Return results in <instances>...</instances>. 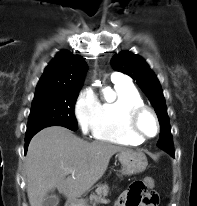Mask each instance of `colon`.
<instances>
[{"instance_id":"5ec220e1","label":"colon","mask_w":197,"mask_h":206,"mask_svg":"<svg viewBox=\"0 0 197 206\" xmlns=\"http://www.w3.org/2000/svg\"><path fill=\"white\" fill-rule=\"evenodd\" d=\"M154 186V180L147 178L138 180L132 183L128 190V204L129 206H142L148 205L151 201L158 200L153 193H147L148 188Z\"/></svg>"}]
</instances>
